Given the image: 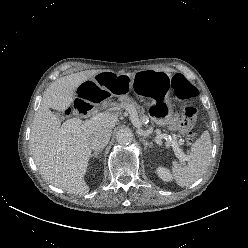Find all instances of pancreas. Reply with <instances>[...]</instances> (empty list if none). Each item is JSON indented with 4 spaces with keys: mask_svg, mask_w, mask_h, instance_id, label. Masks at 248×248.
<instances>
[{
    "mask_svg": "<svg viewBox=\"0 0 248 248\" xmlns=\"http://www.w3.org/2000/svg\"><path fill=\"white\" fill-rule=\"evenodd\" d=\"M119 107L123 108L127 111H129L130 108H133L136 112L138 111L140 113V122L141 123H144L148 119V117L143 113V111L140 110V106L131 97L123 98L121 100V103L119 104Z\"/></svg>",
    "mask_w": 248,
    "mask_h": 248,
    "instance_id": "cf45deb5",
    "label": "pancreas"
}]
</instances>
